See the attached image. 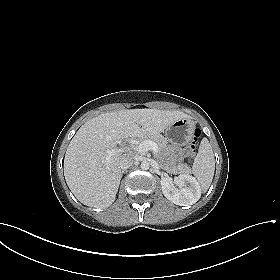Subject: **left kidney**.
Wrapping results in <instances>:
<instances>
[{"mask_svg":"<svg viewBox=\"0 0 280 280\" xmlns=\"http://www.w3.org/2000/svg\"><path fill=\"white\" fill-rule=\"evenodd\" d=\"M164 196L179 206H189L196 203L201 197V187L198 181L189 174H181L176 180L170 177L161 179Z\"/></svg>","mask_w":280,"mask_h":280,"instance_id":"1","label":"left kidney"}]
</instances>
